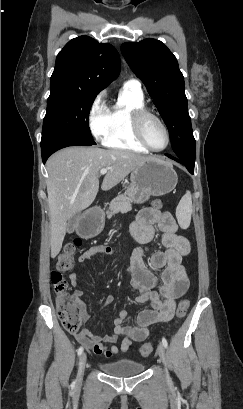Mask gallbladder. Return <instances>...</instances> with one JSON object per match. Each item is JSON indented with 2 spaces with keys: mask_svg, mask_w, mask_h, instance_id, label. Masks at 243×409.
<instances>
[{
  "mask_svg": "<svg viewBox=\"0 0 243 409\" xmlns=\"http://www.w3.org/2000/svg\"><path fill=\"white\" fill-rule=\"evenodd\" d=\"M80 217V213H76L70 220L68 221L67 224V232L69 234L73 233L76 230L77 223Z\"/></svg>",
  "mask_w": 243,
  "mask_h": 409,
  "instance_id": "obj_1",
  "label": "gallbladder"
}]
</instances>
